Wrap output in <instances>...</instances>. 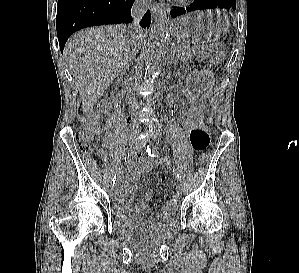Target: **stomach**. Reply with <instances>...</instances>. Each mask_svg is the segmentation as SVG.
Segmentation results:
<instances>
[{
	"mask_svg": "<svg viewBox=\"0 0 299 273\" xmlns=\"http://www.w3.org/2000/svg\"><path fill=\"white\" fill-rule=\"evenodd\" d=\"M230 21L220 10L197 11L174 20L170 30L175 39L182 43L203 44L220 39L229 29ZM210 74L194 72L189 76V88L198 101L206 95L210 85Z\"/></svg>",
	"mask_w": 299,
	"mask_h": 273,
	"instance_id": "obj_1",
	"label": "stomach"
}]
</instances>
